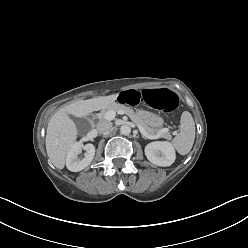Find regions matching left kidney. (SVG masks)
Here are the masks:
<instances>
[{
  "mask_svg": "<svg viewBox=\"0 0 248 248\" xmlns=\"http://www.w3.org/2000/svg\"><path fill=\"white\" fill-rule=\"evenodd\" d=\"M147 159L158 166L166 167L175 161V150L167 141L151 142L145 147Z\"/></svg>",
  "mask_w": 248,
  "mask_h": 248,
  "instance_id": "left-kidney-1",
  "label": "left kidney"
}]
</instances>
